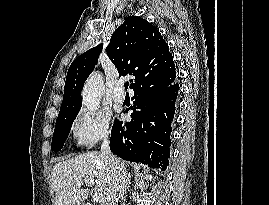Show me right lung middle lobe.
Instances as JSON below:
<instances>
[{
	"label": "right lung middle lobe",
	"instance_id": "dd1d6c3e",
	"mask_svg": "<svg viewBox=\"0 0 269 205\" xmlns=\"http://www.w3.org/2000/svg\"><path fill=\"white\" fill-rule=\"evenodd\" d=\"M78 112L58 118L56 120L55 130L53 133L51 148L53 151H60L70 132L72 123Z\"/></svg>",
	"mask_w": 269,
	"mask_h": 205
}]
</instances>
